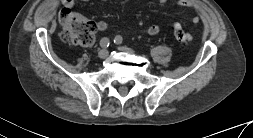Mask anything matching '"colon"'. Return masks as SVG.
I'll use <instances>...</instances> for the list:
<instances>
[{"mask_svg":"<svg viewBox=\"0 0 253 138\" xmlns=\"http://www.w3.org/2000/svg\"><path fill=\"white\" fill-rule=\"evenodd\" d=\"M59 21L62 25V39L69 44L89 46L93 44L95 38V23L78 14L64 8L60 11ZM173 34L177 41L182 44L189 43L193 36L185 32L181 26H173Z\"/></svg>","mask_w":253,"mask_h":138,"instance_id":"colon-1","label":"colon"}]
</instances>
